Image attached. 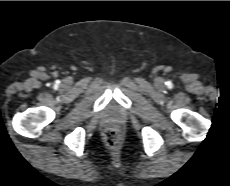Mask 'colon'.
<instances>
[{
  "label": "colon",
  "mask_w": 230,
  "mask_h": 186,
  "mask_svg": "<svg viewBox=\"0 0 230 186\" xmlns=\"http://www.w3.org/2000/svg\"><path fill=\"white\" fill-rule=\"evenodd\" d=\"M104 139L109 147H117L121 139L119 130L115 128H108L104 133Z\"/></svg>",
  "instance_id": "5ec220e1"
}]
</instances>
